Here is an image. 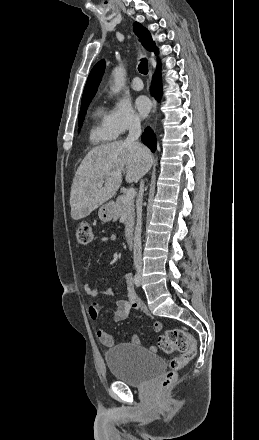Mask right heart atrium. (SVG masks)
<instances>
[{
	"label": "right heart atrium",
	"mask_w": 259,
	"mask_h": 440,
	"mask_svg": "<svg viewBox=\"0 0 259 440\" xmlns=\"http://www.w3.org/2000/svg\"><path fill=\"white\" fill-rule=\"evenodd\" d=\"M108 123L115 136H119L138 127L140 119L127 100L116 99L108 113Z\"/></svg>",
	"instance_id": "d8ad5b80"
}]
</instances>
